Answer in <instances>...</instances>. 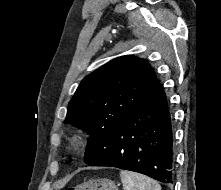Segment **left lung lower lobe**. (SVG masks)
<instances>
[{
  "instance_id": "1",
  "label": "left lung lower lobe",
  "mask_w": 221,
  "mask_h": 190,
  "mask_svg": "<svg viewBox=\"0 0 221 190\" xmlns=\"http://www.w3.org/2000/svg\"><path fill=\"white\" fill-rule=\"evenodd\" d=\"M89 166L117 167L173 183L171 114L160 83L138 109L118 124L107 147Z\"/></svg>"
}]
</instances>
